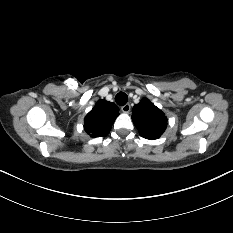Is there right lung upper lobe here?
<instances>
[{"label":"right lung upper lobe","instance_id":"obj_1","mask_svg":"<svg viewBox=\"0 0 233 233\" xmlns=\"http://www.w3.org/2000/svg\"><path fill=\"white\" fill-rule=\"evenodd\" d=\"M119 115V108L106 100H99L84 119V129L91 137L106 136Z\"/></svg>","mask_w":233,"mask_h":233}]
</instances>
